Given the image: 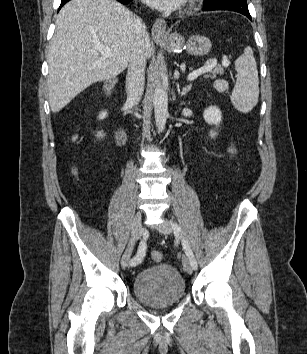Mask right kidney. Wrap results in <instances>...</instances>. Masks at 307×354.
<instances>
[{
    "instance_id": "right-kidney-1",
    "label": "right kidney",
    "mask_w": 307,
    "mask_h": 354,
    "mask_svg": "<svg viewBox=\"0 0 307 354\" xmlns=\"http://www.w3.org/2000/svg\"><path fill=\"white\" fill-rule=\"evenodd\" d=\"M107 115H108V114H107V111H102V112H100L98 118H99L100 120H103V119H105V118L107 117ZM103 136H105V135L103 134V132H98V133H97V137L103 138Z\"/></svg>"
}]
</instances>
